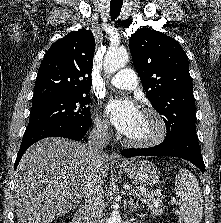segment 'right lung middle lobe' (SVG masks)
Returning a JSON list of instances; mask_svg holds the SVG:
<instances>
[{"label": "right lung middle lobe", "instance_id": "right-lung-middle-lobe-1", "mask_svg": "<svg viewBox=\"0 0 221 223\" xmlns=\"http://www.w3.org/2000/svg\"><path fill=\"white\" fill-rule=\"evenodd\" d=\"M86 93L59 95L32 102L27 129L51 122L91 125L90 97Z\"/></svg>", "mask_w": 221, "mask_h": 223}]
</instances>
